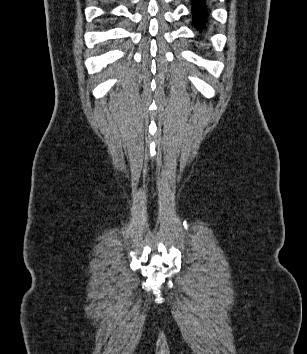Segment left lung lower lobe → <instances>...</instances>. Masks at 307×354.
<instances>
[{
    "instance_id": "0a47b994",
    "label": "left lung lower lobe",
    "mask_w": 307,
    "mask_h": 354,
    "mask_svg": "<svg viewBox=\"0 0 307 354\" xmlns=\"http://www.w3.org/2000/svg\"><path fill=\"white\" fill-rule=\"evenodd\" d=\"M191 12L195 29L202 33L209 17V0H191Z\"/></svg>"
}]
</instances>
